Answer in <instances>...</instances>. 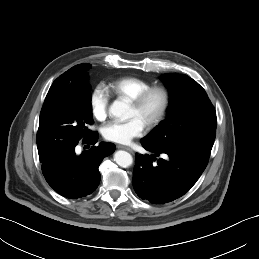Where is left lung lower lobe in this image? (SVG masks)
I'll return each mask as SVG.
<instances>
[{
  "label": "left lung lower lobe",
  "mask_w": 259,
  "mask_h": 259,
  "mask_svg": "<svg viewBox=\"0 0 259 259\" xmlns=\"http://www.w3.org/2000/svg\"><path fill=\"white\" fill-rule=\"evenodd\" d=\"M152 155L136 154L133 187L137 195L154 204L183 196L205 170L212 147L196 145L182 150L164 149L141 140ZM166 154L169 160L161 158Z\"/></svg>",
  "instance_id": "1"
}]
</instances>
